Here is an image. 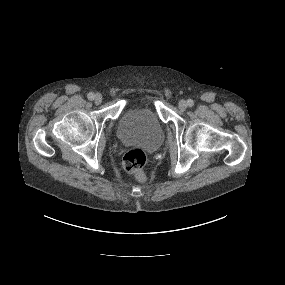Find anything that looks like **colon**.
<instances>
[{"instance_id":"1","label":"colon","mask_w":285,"mask_h":285,"mask_svg":"<svg viewBox=\"0 0 285 285\" xmlns=\"http://www.w3.org/2000/svg\"><path fill=\"white\" fill-rule=\"evenodd\" d=\"M147 161L146 153L140 148L127 151L123 157V166L126 172L134 175L138 180H145L143 168Z\"/></svg>"}]
</instances>
